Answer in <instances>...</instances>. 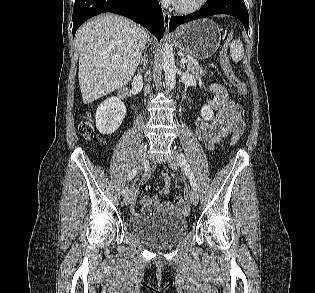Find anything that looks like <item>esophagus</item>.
Returning <instances> with one entry per match:
<instances>
[{
  "label": "esophagus",
  "instance_id": "1",
  "mask_svg": "<svg viewBox=\"0 0 315 293\" xmlns=\"http://www.w3.org/2000/svg\"><path fill=\"white\" fill-rule=\"evenodd\" d=\"M163 18H164L165 29L168 30L171 15L169 14V12L164 11Z\"/></svg>",
  "mask_w": 315,
  "mask_h": 293
}]
</instances>
